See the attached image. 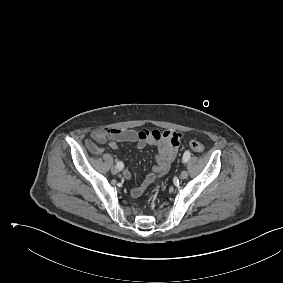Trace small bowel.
Here are the masks:
<instances>
[{
    "instance_id": "1",
    "label": "small bowel",
    "mask_w": 283,
    "mask_h": 283,
    "mask_svg": "<svg viewBox=\"0 0 283 283\" xmlns=\"http://www.w3.org/2000/svg\"><path fill=\"white\" fill-rule=\"evenodd\" d=\"M91 138L97 143L108 142L109 148L114 151L118 149L119 142H132L140 149L147 145L157 147L156 164L146 175L142 184L131 190L133 197H139L157 178L162 177L168 172L176 157L182 134L171 130H134L105 127L93 131ZM124 176L128 179L131 178L130 171L125 170Z\"/></svg>"
}]
</instances>
